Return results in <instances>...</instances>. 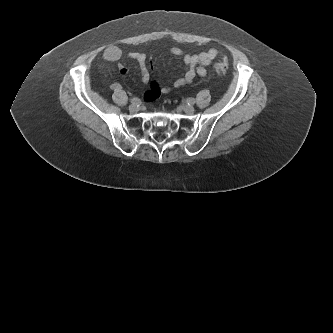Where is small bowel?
I'll use <instances>...</instances> for the list:
<instances>
[{
	"label": "small bowel",
	"instance_id": "small-bowel-1",
	"mask_svg": "<svg viewBox=\"0 0 333 333\" xmlns=\"http://www.w3.org/2000/svg\"><path fill=\"white\" fill-rule=\"evenodd\" d=\"M171 53L183 59L186 69L181 77L171 82L170 86H160L156 81L152 80L150 68L147 65V56L144 53L134 51L128 54L129 58L136 61L139 65L142 81L150 85L149 91L144 97L146 104H151L154 100H157L160 93L166 94L172 89L193 83L196 76L205 77L207 75V67L211 65L218 55L216 49H209L199 54H189L177 47L172 48ZM121 57L122 50L116 45L108 46L103 52V58L109 62H117ZM119 71L122 75H125L127 72L122 65L119 66ZM120 87V84L117 82L111 85L112 90H119Z\"/></svg>",
	"mask_w": 333,
	"mask_h": 333
}]
</instances>
